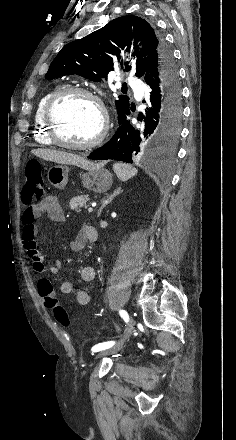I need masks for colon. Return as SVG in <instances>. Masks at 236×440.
Segmentation results:
<instances>
[{"label":"colon","mask_w":236,"mask_h":440,"mask_svg":"<svg viewBox=\"0 0 236 440\" xmlns=\"http://www.w3.org/2000/svg\"><path fill=\"white\" fill-rule=\"evenodd\" d=\"M44 181L40 163L30 161L25 166V182L22 191L24 203H30L42 197ZM40 295L45 299L49 308L53 310L55 319L63 326L70 324V317L66 310L58 304L53 292L52 284L48 280H41L38 284Z\"/></svg>","instance_id":"obj_1"}]
</instances>
